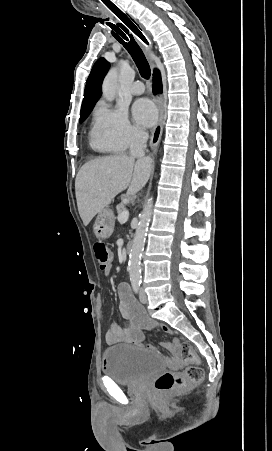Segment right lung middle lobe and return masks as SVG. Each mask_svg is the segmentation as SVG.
Here are the masks:
<instances>
[{"instance_id":"obj_1","label":"right lung middle lobe","mask_w":272,"mask_h":451,"mask_svg":"<svg viewBox=\"0 0 272 451\" xmlns=\"http://www.w3.org/2000/svg\"><path fill=\"white\" fill-rule=\"evenodd\" d=\"M92 108H81V113H80V120L79 122L82 123L90 114Z\"/></svg>"}]
</instances>
